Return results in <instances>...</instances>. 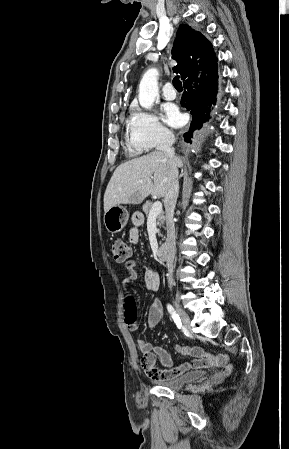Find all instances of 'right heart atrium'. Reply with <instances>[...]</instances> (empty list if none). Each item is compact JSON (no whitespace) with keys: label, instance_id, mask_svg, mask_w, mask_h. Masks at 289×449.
<instances>
[{"label":"right heart atrium","instance_id":"obj_1","mask_svg":"<svg viewBox=\"0 0 289 449\" xmlns=\"http://www.w3.org/2000/svg\"><path fill=\"white\" fill-rule=\"evenodd\" d=\"M172 132L158 117L150 112L135 108L129 120V142L141 151L159 148L172 141Z\"/></svg>","mask_w":289,"mask_h":449}]
</instances>
